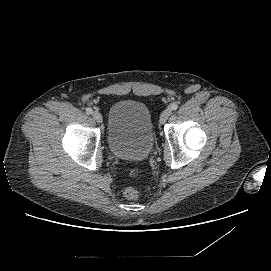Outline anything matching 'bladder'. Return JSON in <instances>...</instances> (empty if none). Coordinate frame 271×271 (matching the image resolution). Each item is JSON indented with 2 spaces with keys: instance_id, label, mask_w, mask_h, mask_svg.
<instances>
[{
  "instance_id": "bladder-1",
  "label": "bladder",
  "mask_w": 271,
  "mask_h": 271,
  "mask_svg": "<svg viewBox=\"0 0 271 271\" xmlns=\"http://www.w3.org/2000/svg\"><path fill=\"white\" fill-rule=\"evenodd\" d=\"M108 147L124 161L146 159L154 147L151 111L140 101L124 99L112 104L108 115Z\"/></svg>"
}]
</instances>
